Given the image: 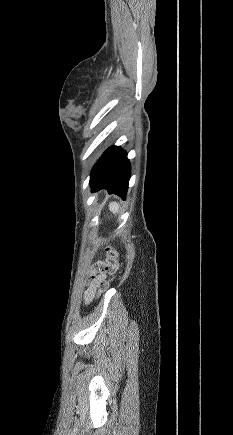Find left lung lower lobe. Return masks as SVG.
Returning a JSON list of instances; mask_svg holds the SVG:
<instances>
[{"label": "left lung lower lobe", "instance_id": "1", "mask_svg": "<svg viewBox=\"0 0 233 435\" xmlns=\"http://www.w3.org/2000/svg\"><path fill=\"white\" fill-rule=\"evenodd\" d=\"M130 173L126 152L120 147L112 146L103 153L91 171L92 191L107 189L109 194L115 193L125 198Z\"/></svg>", "mask_w": 233, "mask_h": 435}]
</instances>
